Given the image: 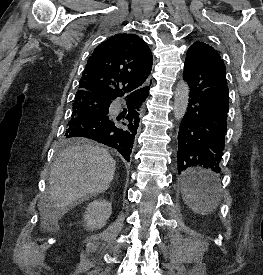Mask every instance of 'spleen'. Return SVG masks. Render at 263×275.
<instances>
[{
	"label": "spleen",
	"instance_id": "spleen-1",
	"mask_svg": "<svg viewBox=\"0 0 263 275\" xmlns=\"http://www.w3.org/2000/svg\"><path fill=\"white\" fill-rule=\"evenodd\" d=\"M219 188L220 184L217 176L213 177L209 187H201L188 181L183 190V200L195 213L205 214L207 211L206 205L210 204V201H217L216 197L210 194L218 193Z\"/></svg>",
	"mask_w": 263,
	"mask_h": 275
}]
</instances>
